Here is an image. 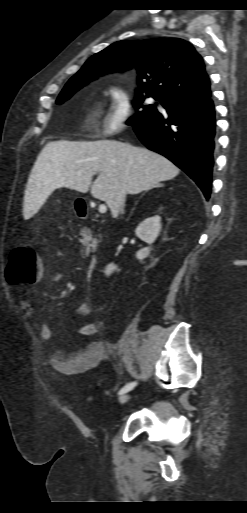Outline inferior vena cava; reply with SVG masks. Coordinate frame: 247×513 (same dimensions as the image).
<instances>
[{
  "label": "inferior vena cava",
  "instance_id": "obj_1",
  "mask_svg": "<svg viewBox=\"0 0 247 513\" xmlns=\"http://www.w3.org/2000/svg\"><path fill=\"white\" fill-rule=\"evenodd\" d=\"M124 203H125V194H124V195H122V196L119 198V200H118V207H119V208H118V211H119L120 213H122V212H123V206H124Z\"/></svg>",
  "mask_w": 247,
  "mask_h": 513
}]
</instances>
